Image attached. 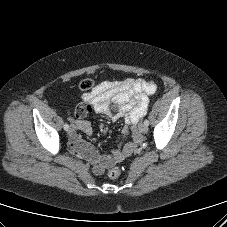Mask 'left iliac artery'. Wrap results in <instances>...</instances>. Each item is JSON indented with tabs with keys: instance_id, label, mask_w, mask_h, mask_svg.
Masks as SVG:
<instances>
[{
	"instance_id": "left-iliac-artery-1",
	"label": "left iliac artery",
	"mask_w": 227,
	"mask_h": 227,
	"mask_svg": "<svg viewBox=\"0 0 227 227\" xmlns=\"http://www.w3.org/2000/svg\"><path fill=\"white\" fill-rule=\"evenodd\" d=\"M144 124H145L146 126H148V125H149V121H148V120H145V121H144Z\"/></svg>"
}]
</instances>
